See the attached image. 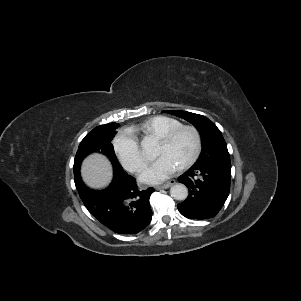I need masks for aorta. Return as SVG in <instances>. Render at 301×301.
Segmentation results:
<instances>
[{
    "label": "aorta",
    "mask_w": 301,
    "mask_h": 301,
    "mask_svg": "<svg viewBox=\"0 0 301 301\" xmlns=\"http://www.w3.org/2000/svg\"><path fill=\"white\" fill-rule=\"evenodd\" d=\"M143 146L146 147L145 143ZM170 194L176 200H185L188 196V189L183 184H176L170 188Z\"/></svg>",
    "instance_id": "1"
}]
</instances>
